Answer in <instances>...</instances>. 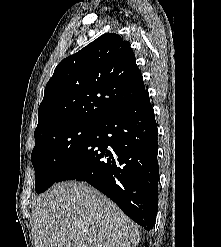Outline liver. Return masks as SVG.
<instances>
[{
  "instance_id": "6515ba94",
  "label": "liver",
  "mask_w": 221,
  "mask_h": 247,
  "mask_svg": "<svg viewBox=\"0 0 221 247\" xmlns=\"http://www.w3.org/2000/svg\"><path fill=\"white\" fill-rule=\"evenodd\" d=\"M36 247H130L139 231L120 208L88 184H55L32 212Z\"/></svg>"
}]
</instances>
